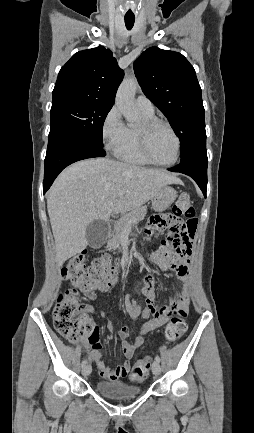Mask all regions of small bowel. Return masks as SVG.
<instances>
[{
  "instance_id": "1",
  "label": "small bowel",
  "mask_w": 254,
  "mask_h": 433,
  "mask_svg": "<svg viewBox=\"0 0 254 433\" xmlns=\"http://www.w3.org/2000/svg\"><path fill=\"white\" fill-rule=\"evenodd\" d=\"M169 221V215H165L158 218H153L150 222L149 228L146 230L147 234L155 229H160L166 227V223ZM190 255L187 256H177V257H161L156 255V260L159 267L166 271H174L178 278L187 285L190 281L191 276V266H190ZM117 285L116 276L112 278L108 283L100 286L98 290L106 292ZM155 279L152 274H148L144 278V287L142 293L146 298V305L141 306L136 303L129 295L125 297L124 305L125 311L128 316L133 319H143L145 322L138 331V334L130 342L127 340L129 336V330L126 327H122L116 333L121 340V351L126 360L115 369H110L103 361V356L100 352L102 344L100 342L99 336L100 331L96 323L89 321L93 325V333L89 341V356L88 359L94 362L98 368L99 375L106 380L116 381L121 378H125L129 375L131 362L134 351L136 348L143 344L144 337L152 332L153 330L163 326L170 315L173 306H186L187 294L186 292L181 293L178 297L171 300L170 305H159L156 303V293H155ZM85 295L89 299H95L96 295L94 291L85 292ZM86 311H93L91 306L85 307ZM112 330V326L109 325Z\"/></svg>"
}]
</instances>
